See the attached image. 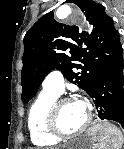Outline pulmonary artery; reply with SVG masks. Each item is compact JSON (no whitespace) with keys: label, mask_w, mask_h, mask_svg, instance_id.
<instances>
[{"label":"pulmonary artery","mask_w":124,"mask_h":149,"mask_svg":"<svg viewBox=\"0 0 124 149\" xmlns=\"http://www.w3.org/2000/svg\"><path fill=\"white\" fill-rule=\"evenodd\" d=\"M43 90L60 95L64 91V78L59 70L51 71L43 81Z\"/></svg>","instance_id":"pulmonary-artery-1"}]
</instances>
